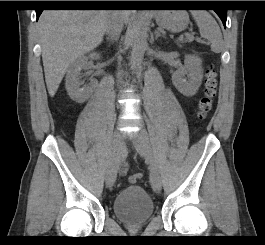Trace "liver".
<instances>
[{"instance_id": "1", "label": "liver", "mask_w": 265, "mask_h": 245, "mask_svg": "<svg viewBox=\"0 0 265 245\" xmlns=\"http://www.w3.org/2000/svg\"><path fill=\"white\" fill-rule=\"evenodd\" d=\"M118 14L124 23L130 12L107 10H45L38 22L48 92L53 97L69 66L96 48L109 22Z\"/></svg>"}]
</instances>
